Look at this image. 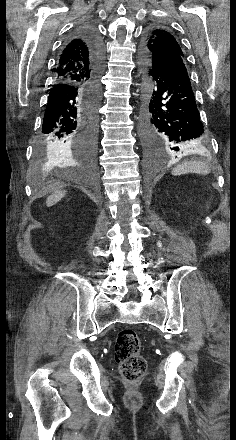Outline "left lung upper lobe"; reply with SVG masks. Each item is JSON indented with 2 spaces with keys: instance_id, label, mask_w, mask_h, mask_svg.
<instances>
[{
  "instance_id": "left-lung-upper-lobe-1",
  "label": "left lung upper lobe",
  "mask_w": 236,
  "mask_h": 440,
  "mask_svg": "<svg viewBox=\"0 0 236 440\" xmlns=\"http://www.w3.org/2000/svg\"><path fill=\"white\" fill-rule=\"evenodd\" d=\"M141 56L149 65L173 56L185 60L178 41L163 28H153L148 31L141 44Z\"/></svg>"
}]
</instances>
